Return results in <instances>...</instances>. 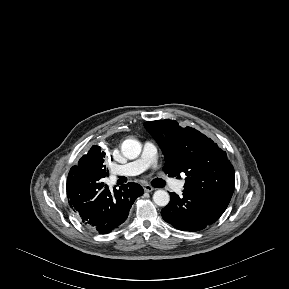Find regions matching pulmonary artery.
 <instances>
[{
  "label": "pulmonary artery",
  "instance_id": "e3ab8cb5",
  "mask_svg": "<svg viewBox=\"0 0 289 289\" xmlns=\"http://www.w3.org/2000/svg\"><path fill=\"white\" fill-rule=\"evenodd\" d=\"M157 161V147L147 141L143 145V150L139 158L123 165H114L111 169L114 176H135L145 171L150 166H153ZM183 182H176L173 186L174 190L180 191L183 189Z\"/></svg>",
  "mask_w": 289,
  "mask_h": 289
}]
</instances>
